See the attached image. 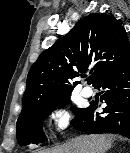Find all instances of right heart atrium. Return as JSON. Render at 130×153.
Returning <instances> with one entry per match:
<instances>
[{
	"mask_svg": "<svg viewBox=\"0 0 130 153\" xmlns=\"http://www.w3.org/2000/svg\"><path fill=\"white\" fill-rule=\"evenodd\" d=\"M72 113L64 105L54 107L49 115L50 125L54 132L61 134L70 126L72 122Z\"/></svg>",
	"mask_w": 130,
	"mask_h": 153,
	"instance_id": "d8ad5b80",
	"label": "right heart atrium"
}]
</instances>
